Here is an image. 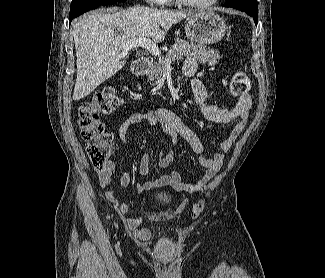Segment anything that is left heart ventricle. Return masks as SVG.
Segmentation results:
<instances>
[{"label": "left heart ventricle", "mask_w": 325, "mask_h": 278, "mask_svg": "<svg viewBox=\"0 0 325 278\" xmlns=\"http://www.w3.org/2000/svg\"><path fill=\"white\" fill-rule=\"evenodd\" d=\"M191 1L202 3V2H206L208 0H191Z\"/></svg>", "instance_id": "b2bd125f"}]
</instances>
